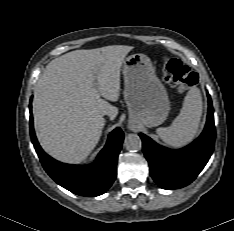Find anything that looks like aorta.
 Returning a JSON list of instances; mask_svg holds the SVG:
<instances>
[{
    "label": "aorta",
    "instance_id": "aorta-1",
    "mask_svg": "<svg viewBox=\"0 0 234 231\" xmlns=\"http://www.w3.org/2000/svg\"><path fill=\"white\" fill-rule=\"evenodd\" d=\"M124 147L131 152H137L142 147L141 138L137 134H128L124 140Z\"/></svg>",
    "mask_w": 234,
    "mask_h": 231
}]
</instances>
